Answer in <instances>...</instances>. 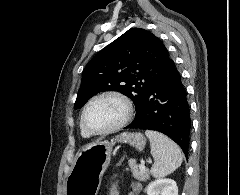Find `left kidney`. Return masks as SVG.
<instances>
[{
  "instance_id": "obj_1",
  "label": "left kidney",
  "mask_w": 240,
  "mask_h": 195,
  "mask_svg": "<svg viewBox=\"0 0 240 195\" xmlns=\"http://www.w3.org/2000/svg\"><path fill=\"white\" fill-rule=\"evenodd\" d=\"M148 195H178V187L174 179H155L146 187Z\"/></svg>"
}]
</instances>
